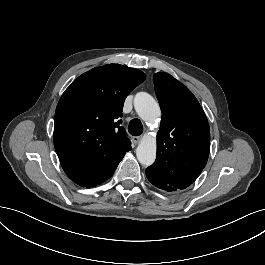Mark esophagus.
Segmentation results:
<instances>
[{"mask_svg": "<svg viewBox=\"0 0 265 265\" xmlns=\"http://www.w3.org/2000/svg\"><path fill=\"white\" fill-rule=\"evenodd\" d=\"M140 139L141 138L139 136L132 137V141L135 145L139 143Z\"/></svg>", "mask_w": 265, "mask_h": 265, "instance_id": "esophagus-1", "label": "esophagus"}]
</instances>
